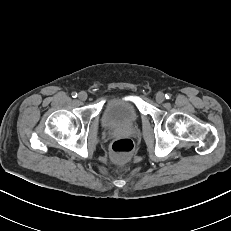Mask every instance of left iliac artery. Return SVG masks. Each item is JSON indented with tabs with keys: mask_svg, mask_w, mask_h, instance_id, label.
<instances>
[{
	"mask_svg": "<svg viewBox=\"0 0 231 231\" xmlns=\"http://www.w3.org/2000/svg\"><path fill=\"white\" fill-rule=\"evenodd\" d=\"M171 96H172V95H171L170 93H166V94H165L166 99H170Z\"/></svg>",
	"mask_w": 231,
	"mask_h": 231,
	"instance_id": "obj_1",
	"label": "left iliac artery"
}]
</instances>
